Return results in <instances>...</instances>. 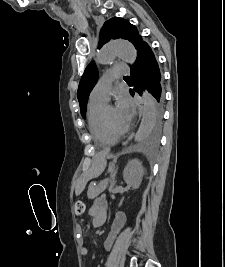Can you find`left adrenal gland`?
I'll return each instance as SVG.
<instances>
[{
  "label": "left adrenal gland",
  "mask_w": 225,
  "mask_h": 267,
  "mask_svg": "<svg viewBox=\"0 0 225 267\" xmlns=\"http://www.w3.org/2000/svg\"><path fill=\"white\" fill-rule=\"evenodd\" d=\"M117 170H118V168L115 167V165H114L113 171L111 172V181H110V187H109L110 189H112L116 184L115 177L117 174Z\"/></svg>",
  "instance_id": "left-adrenal-gland-1"
}]
</instances>
